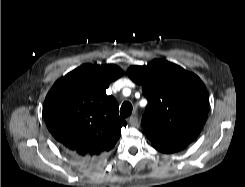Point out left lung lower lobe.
I'll use <instances>...</instances> for the list:
<instances>
[{
    "instance_id": "left-lung-lower-lobe-1",
    "label": "left lung lower lobe",
    "mask_w": 245,
    "mask_h": 187,
    "mask_svg": "<svg viewBox=\"0 0 245 187\" xmlns=\"http://www.w3.org/2000/svg\"><path fill=\"white\" fill-rule=\"evenodd\" d=\"M155 149L162 153H174L186 148L189 144H177V145H164V144H152Z\"/></svg>"
}]
</instances>
